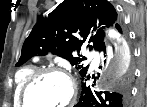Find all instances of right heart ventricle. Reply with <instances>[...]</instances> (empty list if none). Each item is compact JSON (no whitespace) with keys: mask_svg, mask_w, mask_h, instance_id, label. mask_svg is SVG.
Wrapping results in <instances>:
<instances>
[{"mask_svg":"<svg viewBox=\"0 0 147 107\" xmlns=\"http://www.w3.org/2000/svg\"><path fill=\"white\" fill-rule=\"evenodd\" d=\"M36 71L35 66H26L19 69L14 77V91H13V103L15 107H22L20 103V94L30 76Z\"/></svg>","mask_w":147,"mask_h":107,"instance_id":"e07e8e85","label":"right heart ventricle"}]
</instances>
